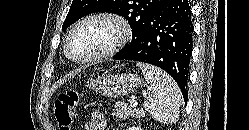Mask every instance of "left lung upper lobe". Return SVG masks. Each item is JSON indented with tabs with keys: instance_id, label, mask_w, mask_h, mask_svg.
Masks as SVG:
<instances>
[{
	"instance_id": "left-lung-upper-lobe-1",
	"label": "left lung upper lobe",
	"mask_w": 249,
	"mask_h": 130,
	"mask_svg": "<svg viewBox=\"0 0 249 130\" xmlns=\"http://www.w3.org/2000/svg\"><path fill=\"white\" fill-rule=\"evenodd\" d=\"M165 2L166 0H73L62 29H67L88 14L110 12L128 20L132 29L133 41L145 21Z\"/></svg>"
}]
</instances>
